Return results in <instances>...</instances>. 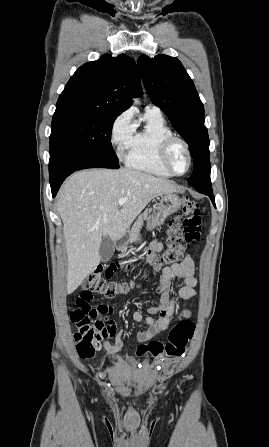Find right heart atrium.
Returning <instances> with one entry per match:
<instances>
[{
    "mask_svg": "<svg viewBox=\"0 0 269 447\" xmlns=\"http://www.w3.org/2000/svg\"><path fill=\"white\" fill-rule=\"evenodd\" d=\"M134 131L135 123L130 110L123 111L112 122L110 143L119 158H123L129 149Z\"/></svg>",
    "mask_w": 269,
    "mask_h": 447,
    "instance_id": "d8ad5b80",
    "label": "right heart atrium"
}]
</instances>
